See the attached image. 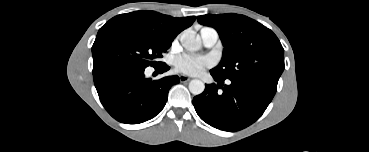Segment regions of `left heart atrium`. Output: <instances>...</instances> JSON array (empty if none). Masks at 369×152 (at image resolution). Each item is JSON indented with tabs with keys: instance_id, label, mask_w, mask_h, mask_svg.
Instances as JSON below:
<instances>
[{
	"instance_id": "left-heart-atrium-1",
	"label": "left heart atrium",
	"mask_w": 369,
	"mask_h": 152,
	"mask_svg": "<svg viewBox=\"0 0 369 152\" xmlns=\"http://www.w3.org/2000/svg\"><path fill=\"white\" fill-rule=\"evenodd\" d=\"M211 63V60L207 57L191 54L178 56L174 60L175 69L187 75H198Z\"/></svg>"
}]
</instances>
